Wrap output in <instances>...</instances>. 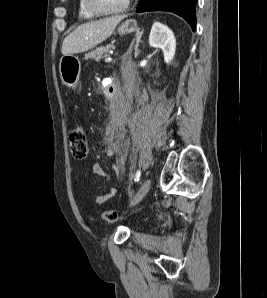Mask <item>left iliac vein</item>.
<instances>
[{
  "label": "left iliac vein",
  "mask_w": 267,
  "mask_h": 298,
  "mask_svg": "<svg viewBox=\"0 0 267 298\" xmlns=\"http://www.w3.org/2000/svg\"><path fill=\"white\" fill-rule=\"evenodd\" d=\"M150 187H151V179H146L140 186L139 190L131 199L130 206H134L137 203H139L143 199V197L148 193Z\"/></svg>",
  "instance_id": "1"
}]
</instances>
